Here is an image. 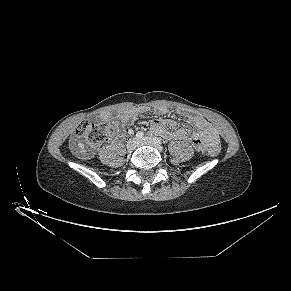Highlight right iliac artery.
<instances>
[{"mask_svg": "<svg viewBox=\"0 0 291 291\" xmlns=\"http://www.w3.org/2000/svg\"><path fill=\"white\" fill-rule=\"evenodd\" d=\"M143 136H144L143 132H137V134H136L137 139H141V138H143Z\"/></svg>", "mask_w": 291, "mask_h": 291, "instance_id": "82829eb1", "label": "right iliac artery"}]
</instances>
